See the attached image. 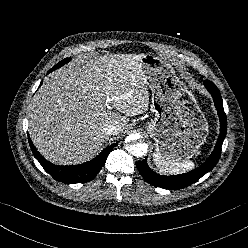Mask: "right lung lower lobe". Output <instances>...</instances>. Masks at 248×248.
Returning <instances> with one entry per match:
<instances>
[{"mask_svg":"<svg viewBox=\"0 0 248 248\" xmlns=\"http://www.w3.org/2000/svg\"><path fill=\"white\" fill-rule=\"evenodd\" d=\"M53 70L55 69L52 68L49 72ZM29 144L34 156L40 162L45 171L51 174L57 181L66 184L85 183L92 180L104 165L111 150L117 145V143H114L108 146L97 157L87 163L74 166H59L45 160L39 152H37L30 138Z\"/></svg>","mask_w":248,"mask_h":248,"instance_id":"98d812e1","label":"right lung lower lobe"}]
</instances>
